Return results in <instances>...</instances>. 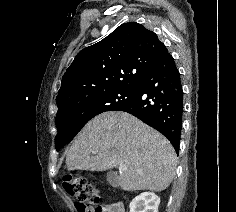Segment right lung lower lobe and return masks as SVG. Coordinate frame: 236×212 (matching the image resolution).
Wrapping results in <instances>:
<instances>
[{"label":"right lung lower lobe","instance_id":"98d812e1","mask_svg":"<svg viewBox=\"0 0 236 212\" xmlns=\"http://www.w3.org/2000/svg\"><path fill=\"white\" fill-rule=\"evenodd\" d=\"M135 97L117 111L128 112L162 133L179 152L183 116L180 73L166 51L137 84Z\"/></svg>","mask_w":236,"mask_h":212}]
</instances>
